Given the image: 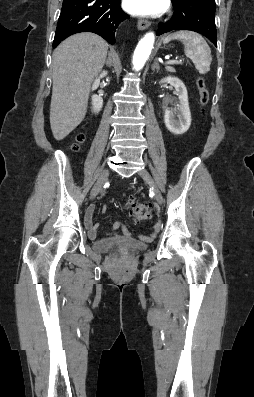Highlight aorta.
I'll use <instances>...</instances> for the list:
<instances>
[{"instance_id":"obj_1","label":"aorta","mask_w":254,"mask_h":397,"mask_svg":"<svg viewBox=\"0 0 254 397\" xmlns=\"http://www.w3.org/2000/svg\"><path fill=\"white\" fill-rule=\"evenodd\" d=\"M155 36L154 33H147L138 43L133 55V67L135 70L143 68L153 48Z\"/></svg>"}]
</instances>
